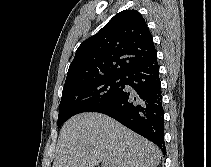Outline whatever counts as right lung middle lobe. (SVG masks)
Masks as SVG:
<instances>
[{"instance_id": "dd1d6c3e", "label": "right lung middle lobe", "mask_w": 211, "mask_h": 167, "mask_svg": "<svg viewBox=\"0 0 211 167\" xmlns=\"http://www.w3.org/2000/svg\"><path fill=\"white\" fill-rule=\"evenodd\" d=\"M124 82V76H104L63 88L58 128L78 113L96 112L109 104L124 90Z\"/></svg>"}]
</instances>
